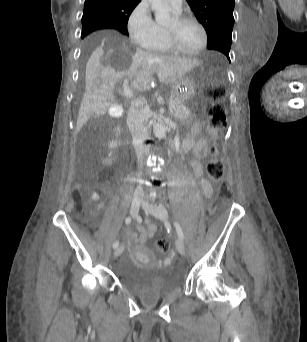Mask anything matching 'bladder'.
Listing matches in <instances>:
<instances>
[{
    "mask_svg": "<svg viewBox=\"0 0 307 342\" xmlns=\"http://www.w3.org/2000/svg\"><path fill=\"white\" fill-rule=\"evenodd\" d=\"M119 280L132 293L151 300L170 294L181 283L180 277L173 272L160 271L131 259L123 261Z\"/></svg>",
    "mask_w": 307,
    "mask_h": 342,
    "instance_id": "obj_1",
    "label": "bladder"
}]
</instances>
